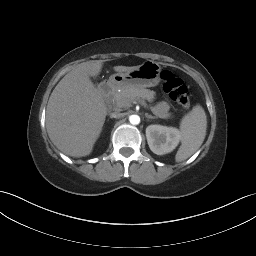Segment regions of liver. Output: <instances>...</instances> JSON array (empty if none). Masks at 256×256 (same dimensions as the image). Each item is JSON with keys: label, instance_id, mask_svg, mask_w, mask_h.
<instances>
[{"label": "liver", "instance_id": "1", "mask_svg": "<svg viewBox=\"0 0 256 256\" xmlns=\"http://www.w3.org/2000/svg\"><path fill=\"white\" fill-rule=\"evenodd\" d=\"M103 63L89 61L67 73L50 95L46 109V128L53 144L72 157L89 155L107 115L102 95L90 77L100 74ZM139 66H115L127 73Z\"/></svg>", "mask_w": 256, "mask_h": 256}]
</instances>
